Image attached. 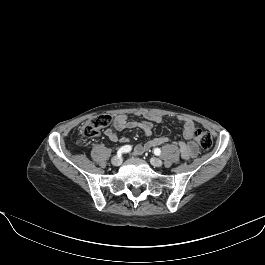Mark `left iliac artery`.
Here are the masks:
<instances>
[{
	"mask_svg": "<svg viewBox=\"0 0 265 265\" xmlns=\"http://www.w3.org/2000/svg\"><path fill=\"white\" fill-rule=\"evenodd\" d=\"M154 154L155 155H160L161 154V150L159 148H155L154 149Z\"/></svg>",
	"mask_w": 265,
	"mask_h": 265,
	"instance_id": "left-iliac-artery-1",
	"label": "left iliac artery"
}]
</instances>
